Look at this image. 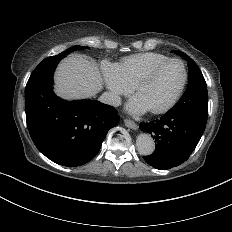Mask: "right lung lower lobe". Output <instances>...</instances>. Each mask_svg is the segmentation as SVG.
Listing matches in <instances>:
<instances>
[{
  "mask_svg": "<svg viewBox=\"0 0 232 232\" xmlns=\"http://www.w3.org/2000/svg\"><path fill=\"white\" fill-rule=\"evenodd\" d=\"M65 55L44 59L25 89L26 121L38 150L51 161L76 167L100 150L109 129L119 122L117 111L99 101L68 102L53 92V74Z\"/></svg>",
  "mask_w": 232,
  "mask_h": 232,
  "instance_id": "98d812e1",
  "label": "right lung lower lobe"
}]
</instances>
